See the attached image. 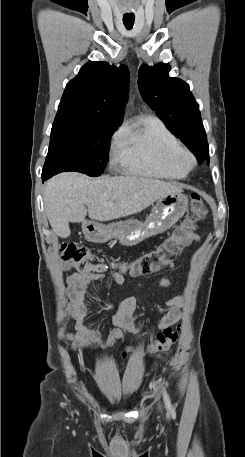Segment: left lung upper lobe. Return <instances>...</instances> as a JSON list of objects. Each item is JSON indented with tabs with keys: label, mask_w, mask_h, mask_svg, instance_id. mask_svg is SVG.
I'll list each match as a JSON object with an SVG mask.
<instances>
[{
	"label": "left lung upper lobe",
	"mask_w": 245,
	"mask_h": 457,
	"mask_svg": "<svg viewBox=\"0 0 245 457\" xmlns=\"http://www.w3.org/2000/svg\"><path fill=\"white\" fill-rule=\"evenodd\" d=\"M170 66L143 64L138 73V86L143 100L156 111L166 127L194 153L197 160L209 149L199 105L189 85L168 76Z\"/></svg>",
	"instance_id": "1"
}]
</instances>
